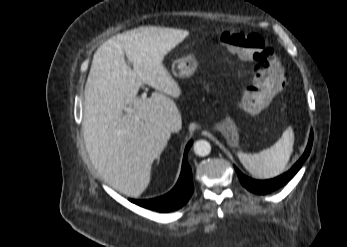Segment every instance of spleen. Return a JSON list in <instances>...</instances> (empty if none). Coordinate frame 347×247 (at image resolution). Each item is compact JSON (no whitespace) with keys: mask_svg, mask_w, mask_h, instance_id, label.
I'll list each match as a JSON object with an SVG mask.
<instances>
[{"mask_svg":"<svg viewBox=\"0 0 347 247\" xmlns=\"http://www.w3.org/2000/svg\"><path fill=\"white\" fill-rule=\"evenodd\" d=\"M294 147V131L289 126L281 138L270 148L255 154L239 152L238 158L245 169L253 176L268 179L281 174L292 155Z\"/></svg>","mask_w":347,"mask_h":247,"instance_id":"spleen-1","label":"spleen"}]
</instances>
